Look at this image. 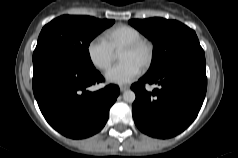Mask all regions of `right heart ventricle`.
Instances as JSON below:
<instances>
[{
	"label": "right heart ventricle",
	"instance_id": "1",
	"mask_svg": "<svg viewBox=\"0 0 238 158\" xmlns=\"http://www.w3.org/2000/svg\"><path fill=\"white\" fill-rule=\"evenodd\" d=\"M141 38L140 31L128 25L114 27L105 33V39L114 51H120L125 45Z\"/></svg>",
	"mask_w": 238,
	"mask_h": 158
}]
</instances>
